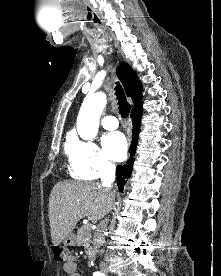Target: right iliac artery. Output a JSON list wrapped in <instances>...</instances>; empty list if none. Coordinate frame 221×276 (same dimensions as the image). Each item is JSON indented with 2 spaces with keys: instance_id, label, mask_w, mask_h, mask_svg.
Returning <instances> with one entry per match:
<instances>
[{
  "instance_id": "right-iliac-artery-1",
  "label": "right iliac artery",
  "mask_w": 221,
  "mask_h": 276,
  "mask_svg": "<svg viewBox=\"0 0 221 276\" xmlns=\"http://www.w3.org/2000/svg\"><path fill=\"white\" fill-rule=\"evenodd\" d=\"M93 276H105V275L103 273H101V272H95L93 274Z\"/></svg>"
}]
</instances>
